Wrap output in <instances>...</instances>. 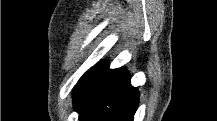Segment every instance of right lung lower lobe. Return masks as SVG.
<instances>
[{
    "label": "right lung lower lobe",
    "instance_id": "obj_1",
    "mask_svg": "<svg viewBox=\"0 0 217 121\" xmlns=\"http://www.w3.org/2000/svg\"><path fill=\"white\" fill-rule=\"evenodd\" d=\"M108 67L101 62L74 87V110L81 121H133L139 92L131 86L125 68Z\"/></svg>",
    "mask_w": 217,
    "mask_h": 121
}]
</instances>
